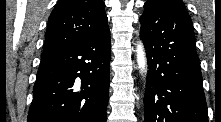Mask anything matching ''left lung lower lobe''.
Here are the masks:
<instances>
[{
    "label": "left lung lower lobe",
    "instance_id": "0a47b994",
    "mask_svg": "<svg viewBox=\"0 0 221 122\" xmlns=\"http://www.w3.org/2000/svg\"><path fill=\"white\" fill-rule=\"evenodd\" d=\"M147 61L144 122H208L192 21L181 0H148L140 17Z\"/></svg>",
    "mask_w": 221,
    "mask_h": 122
}]
</instances>
